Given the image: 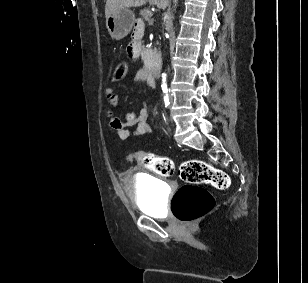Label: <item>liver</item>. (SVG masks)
Masks as SVG:
<instances>
[{
    "instance_id": "liver-1",
    "label": "liver",
    "mask_w": 308,
    "mask_h": 283,
    "mask_svg": "<svg viewBox=\"0 0 308 283\" xmlns=\"http://www.w3.org/2000/svg\"><path fill=\"white\" fill-rule=\"evenodd\" d=\"M157 5L159 8L166 6L167 0H106L105 16L106 18L114 11L120 8L140 7L147 2Z\"/></svg>"
}]
</instances>
